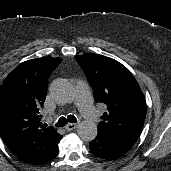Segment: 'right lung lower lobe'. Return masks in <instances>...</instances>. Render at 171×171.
Here are the masks:
<instances>
[{"mask_svg": "<svg viewBox=\"0 0 171 171\" xmlns=\"http://www.w3.org/2000/svg\"><path fill=\"white\" fill-rule=\"evenodd\" d=\"M58 154V148L57 146L53 149V151L51 152V154L42 162H40L37 165H43L45 163H48L49 161H51L52 159H54Z\"/></svg>", "mask_w": 171, "mask_h": 171, "instance_id": "98d812e1", "label": "right lung lower lobe"}]
</instances>
